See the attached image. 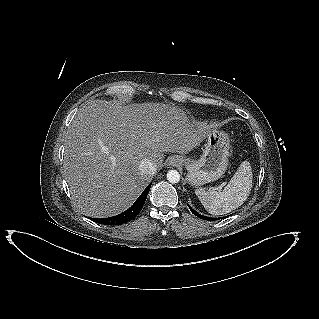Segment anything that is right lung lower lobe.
<instances>
[{"mask_svg":"<svg viewBox=\"0 0 319 319\" xmlns=\"http://www.w3.org/2000/svg\"><path fill=\"white\" fill-rule=\"evenodd\" d=\"M151 184L147 186V188L143 191V193L138 197V199L135 201V203L127 209L125 212L113 216V217H108V218H101V219H92L93 221L95 220L99 224H104V225H120L123 223H126L133 218H135L138 213L141 211L145 200L147 198V195L149 193Z\"/></svg>","mask_w":319,"mask_h":319,"instance_id":"obj_1","label":"right lung lower lobe"}]
</instances>
